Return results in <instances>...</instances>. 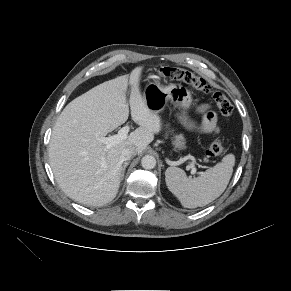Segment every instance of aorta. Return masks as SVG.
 Listing matches in <instances>:
<instances>
[{
    "instance_id": "1",
    "label": "aorta",
    "mask_w": 291,
    "mask_h": 291,
    "mask_svg": "<svg viewBox=\"0 0 291 291\" xmlns=\"http://www.w3.org/2000/svg\"><path fill=\"white\" fill-rule=\"evenodd\" d=\"M141 165L144 169H153L156 166V159L152 155H145L141 159Z\"/></svg>"
}]
</instances>
